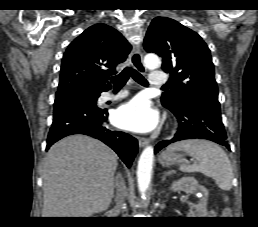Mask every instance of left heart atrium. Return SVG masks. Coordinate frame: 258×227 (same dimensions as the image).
I'll return each mask as SVG.
<instances>
[{"mask_svg":"<svg viewBox=\"0 0 258 227\" xmlns=\"http://www.w3.org/2000/svg\"><path fill=\"white\" fill-rule=\"evenodd\" d=\"M114 121L126 130L148 132L157 125L158 113L146 98L136 97L118 108Z\"/></svg>","mask_w":258,"mask_h":227,"instance_id":"39dd6f15","label":"left heart atrium"}]
</instances>
